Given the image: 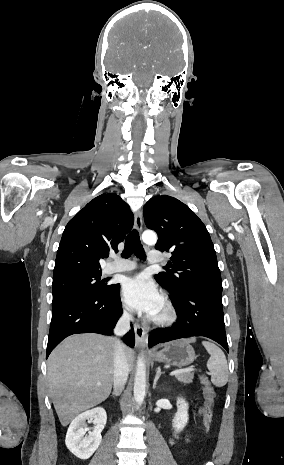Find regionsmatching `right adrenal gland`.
<instances>
[{
	"label": "right adrenal gland",
	"instance_id": "right-adrenal-gland-1",
	"mask_svg": "<svg viewBox=\"0 0 284 465\" xmlns=\"http://www.w3.org/2000/svg\"><path fill=\"white\" fill-rule=\"evenodd\" d=\"M121 393V391H120ZM120 393H112V395H115V397H118V395H120Z\"/></svg>",
	"mask_w": 284,
	"mask_h": 465
}]
</instances>
